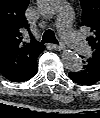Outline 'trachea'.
<instances>
[{
    "label": "trachea",
    "mask_w": 100,
    "mask_h": 118,
    "mask_svg": "<svg viewBox=\"0 0 100 118\" xmlns=\"http://www.w3.org/2000/svg\"><path fill=\"white\" fill-rule=\"evenodd\" d=\"M42 43H58L52 30H47L42 36Z\"/></svg>",
    "instance_id": "obj_1"
}]
</instances>
